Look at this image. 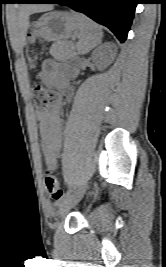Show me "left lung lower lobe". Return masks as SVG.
Segmentation results:
<instances>
[{
    "label": "left lung lower lobe",
    "mask_w": 166,
    "mask_h": 267,
    "mask_svg": "<svg viewBox=\"0 0 166 267\" xmlns=\"http://www.w3.org/2000/svg\"><path fill=\"white\" fill-rule=\"evenodd\" d=\"M29 3L66 5L106 26L123 43L133 20L137 0H33Z\"/></svg>",
    "instance_id": "left-lung-lower-lobe-1"
}]
</instances>
